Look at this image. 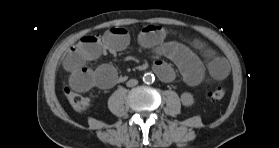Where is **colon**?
<instances>
[{"instance_id": "5ec220e1", "label": "colon", "mask_w": 279, "mask_h": 148, "mask_svg": "<svg viewBox=\"0 0 279 148\" xmlns=\"http://www.w3.org/2000/svg\"><path fill=\"white\" fill-rule=\"evenodd\" d=\"M225 89L218 87L209 92L208 98L211 101L221 100L225 96ZM66 95L69 100L71 107L76 112H85L90 106V99L82 94L66 90Z\"/></svg>"}]
</instances>
